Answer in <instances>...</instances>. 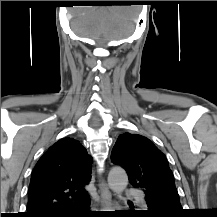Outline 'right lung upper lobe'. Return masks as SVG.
Returning a JSON list of instances; mask_svg holds the SVG:
<instances>
[{
    "instance_id": "cb5924a9",
    "label": "right lung upper lobe",
    "mask_w": 217,
    "mask_h": 217,
    "mask_svg": "<svg viewBox=\"0 0 217 217\" xmlns=\"http://www.w3.org/2000/svg\"><path fill=\"white\" fill-rule=\"evenodd\" d=\"M92 159L79 141L62 138L39 159L31 176L25 217H49L89 200Z\"/></svg>"
}]
</instances>
